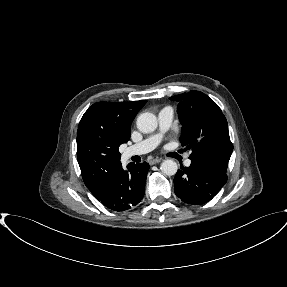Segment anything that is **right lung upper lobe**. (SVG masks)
Here are the masks:
<instances>
[{
  "label": "right lung upper lobe",
  "mask_w": 287,
  "mask_h": 287,
  "mask_svg": "<svg viewBox=\"0 0 287 287\" xmlns=\"http://www.w3.org/2000/svg\"><path fill=\"white\" fill-rule=\"evenodd\" d=\"M146 102H98L82 116L77 130V159L92 194L122 166L119 146L130 139V125Z\"/></svg>",
  "instance_id": "obj_1"
}]
</instances>
